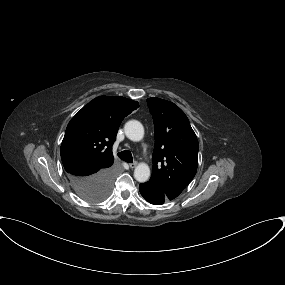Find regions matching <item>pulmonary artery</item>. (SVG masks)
<instances>
[{
  "label": "pulmonary artery",
  "mask_w": 285,
  "mask_h": 285,
  "mask_svg": "<svg viewBox=\"0 0 285 285\" xmlns=\"http://www.w3.org/2000/svg\"><path fill=\"white\" fill-rule=\"evenodd\" d=\"M145 151H146V148H144V153H145Z\"/></svg>",
  "instance_id": "pulmonary-artery-1"
}]
</instances>
